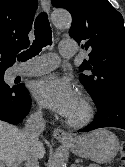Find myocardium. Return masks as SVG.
<instances>
[{
    "instance_id": "myocardium-1",
    "label": "myocardium",
    "mask_w": 125,
    "mask_h": 167,
    "mask_svg": "<svg viewBox=\"0 0 125 167\" xmlns=\"http://www.w3.org/2000/svg\"><path fill=\"white\" fill-rule=\"evenodd\" d=\"M83 114L79 118H66V124L73 128H81L86 126L94 116V106L91 99L84 93L79 97Z\"/></svg>"
}]
</instances>
